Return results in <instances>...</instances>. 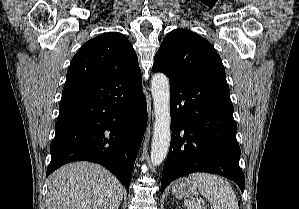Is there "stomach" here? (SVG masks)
I'll return each mask as SVG.
<instances>
[{
    "mask_svg": "<svg viewBox=\"0 0 299 209\" xmlns=\"http://www.w3.org/2000/svg\"><path fill=\"white\" fill-rule=\"evenodd\" d=\"M197 185L192 181H187L186 178H182L177 180L173 187L172 193L178 198H187L190 195H194L197 193Z\"/></svg>",
    "mask_w": 299,
    "mask_h": 209,
    "instance_id": "1",
    "label": "stomach"
}]
</instances>
